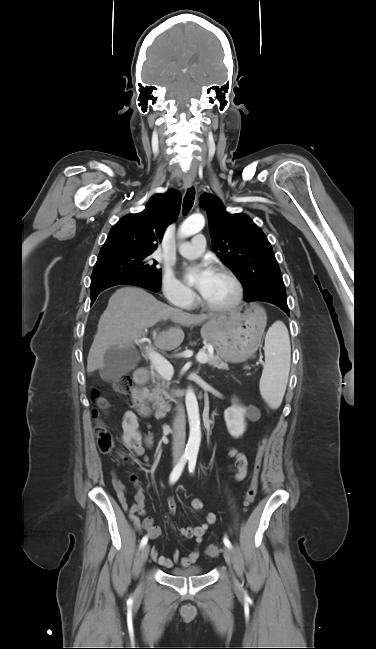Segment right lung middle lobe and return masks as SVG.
Returning <instances> with one entry per match:
<instances>
[{"mask_svg":"<svg viewBox=\"0 0 376 649\" xmlns=\"http://www.w3.org/2000/svg\"><path fill=\"white\" fill-rule=\"evenodd\" d=\"M153 252L120 251L99 254L91 280L109 275L142 277L161 285V269L151 258Z\"/></svg>","mask_w":376,"mask_h":649,"instance_id":"1","label":"right lung middle lobe"}]
</instances>
